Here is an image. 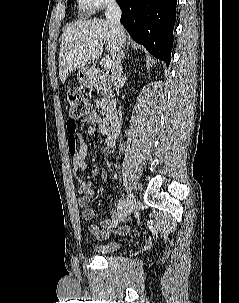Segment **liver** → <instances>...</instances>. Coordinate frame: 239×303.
Wrapping results in <instances>:
<instances>
[{
	"label": "liver",
	"instance_id": "1",
	"mask_svg": "<svg viewBox=\"0 0 239 303\" xmlns=\"http://www.w3.org/2000/svg\"><path fill=\"white\" fill-rule=\"evenodd\" d=\"M108 45L114 64L118 40L114 28L107 20L79 21L64 29L59 53V77L65 82L69 73L98 59L103 45Z\"/></svg>",
	"mask_w": 239,
	"mask_h": 303
}]
</instances>
